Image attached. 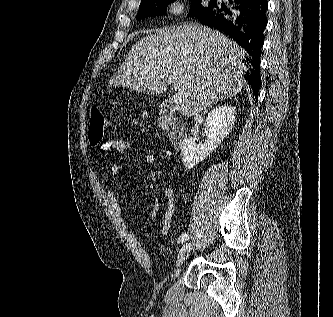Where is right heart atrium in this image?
I'll use <instances>...</instances> for the list:
<instances>
[{
  "label": "right heart atrium",
  "mask_w": 333,
  "mask_h": 317,
  "mask_svg": "<svg viewBox=\"0 0 333 317\" xmlns=\"http://www.w3.org/2000/svg\"><path fill=\"white\" fill-rule=\"evenodd\" d=\"M187 10L185 0H168L165 5V11L172 16H181Z\"/></svg>",
  "instance_id": "obj_1"
}]
</instances>
